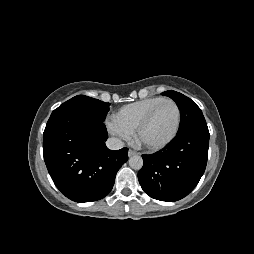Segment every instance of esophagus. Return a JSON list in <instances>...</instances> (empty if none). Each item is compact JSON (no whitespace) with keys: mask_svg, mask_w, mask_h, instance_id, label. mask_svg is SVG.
<instances>
[{"mask_svg":"<svg viewBox=\"0 0 254 254\" xmlns=\"http://www.w3.org/2000/svg\"><path fill=\"white\" fill-rule=\"evenodd\" d=\"M137 154H138V153H137L136 151H134V150H131V149H130V150L128 151V156H129V157L134 156V155H137Z\"/></svg>","mask_w":254,"mask_h":254,"instance_id":"34e87169","label":"esophagus"}]
</instances>
